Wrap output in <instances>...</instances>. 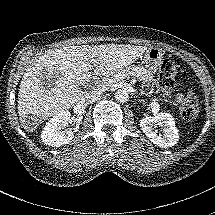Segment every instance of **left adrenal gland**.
Masks as SVG:
<instances>
[{"mask_svg": "<svg viewBox=\"0 0 215 215\" xmlns=\"http://www.w3.org/2000/svg\"><path fill=\"white\" fill-rule=\"evenodd\" d=\"M139 95H144V92H143V91H140V92H139Z\"/></svg>", "mask_w": 215, "mask_h": 215, "instance_id": "1", "label": "left adrenal gland"}]
</instances>
